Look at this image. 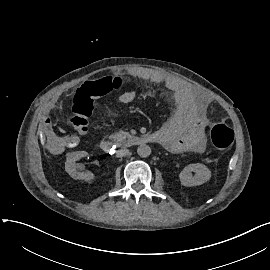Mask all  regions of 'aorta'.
<instances>
[{
	"mask_svg": "<svg viewBox=\"0 0 270 270\" xmlns=\"http://www.w3.org/2000/svg\"><path fill=\"white\" fill-rule=\"evenodd\" d=\"M137 153L140 157H148L151 154V148L146 144H142L138 147Z\"/></svg>",
	"mask_w": 270,
	"mask_h": 270,
	"instance_id": "1",
	"label": "aorta"
}]
</instances>
